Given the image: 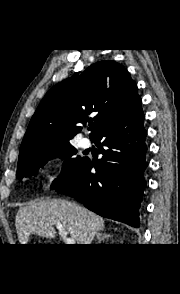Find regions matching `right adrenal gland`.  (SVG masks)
Segmentation results:
<instances>
[{"label":"right adrenal gland","instance_id":"right-adrenal-gland-1","mask_svg":"<svg viewBox=\"0 0 180 294\" xmlns=\"http://www.w3.org/2000/svg\"><path fill=\"white\" fill-rule=\"evenodd\" d=\"M109 237H110L109 234H101V233H98L97 234V239H98L97 244H100L102 241H105V239H108Z\"/></svg>","mask_w":180,"mask_h":294}]
</instances>
